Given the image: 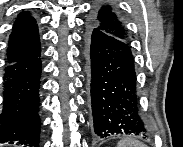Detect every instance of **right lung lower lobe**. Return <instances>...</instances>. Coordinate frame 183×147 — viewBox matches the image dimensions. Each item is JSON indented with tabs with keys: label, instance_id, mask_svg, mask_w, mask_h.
Instances as JSON below:
<instances>
[{
	"label": "right lung lower lobe",
	"instance_id": "98d812e1",
	"mask_svg": "<svg viewBox=\"0 0 183 147\" xmlns=\"http://www.w3.org/2000/svg\"><path fill=\"white\" fill-rule=\"evenodd\" d=\"M40 52L5 67L4 106L0 115V143L39 145L38 116L41 59Z\"/></svg>",
	"mask_w": 183,
	"mask_h": 147
}]
</instances>
